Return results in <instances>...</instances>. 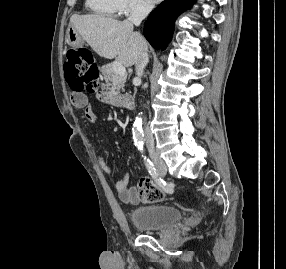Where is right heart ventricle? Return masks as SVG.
<instances>
[{"mask_svg": "<svg viewBox=\"0 0 286 269\" xmlns=\"http://www.w3.org/2000/svg\"><path fill=\"white\" fill-rule=\"evenodd\" d=\"M86 9L94 15L114 18L119 13L118 0H85Z\"/></svg>", "mask_w": 286, "mask_h": 269, "instance_id": "right-heart-ventricle-1", "label": "right heart ventricle"}]
</instances>
